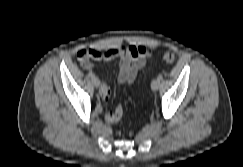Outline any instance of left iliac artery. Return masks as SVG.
<instances>
[{
    "instance_id": "left-iliac-artery-1",
    "label": "left iliac artery",
    "mask_w": 243,
    "mask_h": 167,
    "mask_svg": "<svg viewBox=\"0 0 243 167\" xmlns=\"http://www.w3.org/2000/svg\"><path fill=\"white\" fill-rule=\"evenodd\" d=\"M158 80H162L163 79V76L161 74L158 75L157 77Z\"/></svg>"
}]
</instances>
